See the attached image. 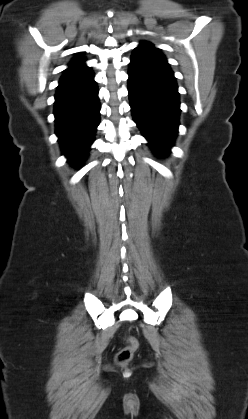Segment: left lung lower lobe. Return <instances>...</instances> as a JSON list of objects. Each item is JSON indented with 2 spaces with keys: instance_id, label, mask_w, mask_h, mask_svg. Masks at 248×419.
I'll use <instances>...</instances> for the list:
<instances>
[{
  "instance_id": "obj_1",
  "label": "left lung lower lobe",
  "mask_w": 248,
  "mask_h": 419,
  "mask_svg": "<svg viewBox=\"0 0 248 419\" xmlns=\"http://www.w3.org/2000/svg\"><path fill=\"white\" fill-rule=\"evenodd\" d=\"M132 115L150 147L169 153L178 132L180 102L174 74L164 56L135 48L129 64Z\"/></svg>"
}]
</instances>
